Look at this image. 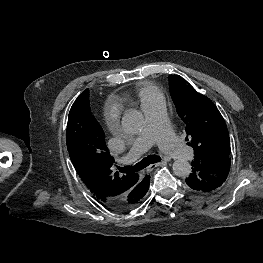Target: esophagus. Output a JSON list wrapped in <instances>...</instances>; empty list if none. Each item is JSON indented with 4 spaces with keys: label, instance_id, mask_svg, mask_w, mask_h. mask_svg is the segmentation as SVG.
<instances>
[{
    "label": "esophagus",
    "instance_id": "1",
    "mask_svg": "<svg viewBox=\"0 0 263 263\" xmlns=\"http://www.w3.org/2000/svg\"><path fill=\"white\" fill-rule=\"evenodd\" d=\"M166 164V162H159V163H155V164H151L147 167V171H152L153 169H155L156 167L159 166H164Z\"/></svg>",
    "mask_w": 263,
    "mask_h": 263
}]
</instances>
